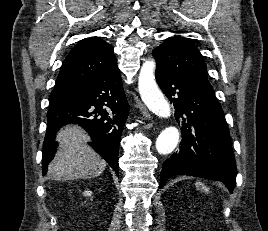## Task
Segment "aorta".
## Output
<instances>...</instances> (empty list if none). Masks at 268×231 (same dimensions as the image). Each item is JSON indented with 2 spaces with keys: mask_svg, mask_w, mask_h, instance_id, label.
<instances>
[{
  "mask_svg": "<svg viewBox=\"0 0 268 231\" xmlns=\"http://www.w3.org/2000/svg\"><path fill=\"white\" fill-rule=\"evenodd\" d=\"M155 68L153 59L143 63L138 78L139 93L151 112L161 118H168L171 115L170 105L155 81ZM179 135L178 129L174 126L162 130L156 140L158 153L163 155L171 153L179 142Z\"/></svg>",
  "mask_w": 268,
  "mask_h": 231,
  "instance_id": "aorta-1",
  "label": "aorta"
}]
</instances>
